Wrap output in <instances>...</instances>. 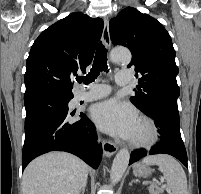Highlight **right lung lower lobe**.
I'll return each mask as SVG.
<instances>
[{"instance_id": "1", "label": "right lung lower lobe", "mask_w": 201, "mask_h": 194, "mask_svg": "<svg viewBox=\"0 0 201 194\" xmlns=\"http://www.w3.org/2000/svg\"><path fill=\"white\" fill-rule=\"evenodd\" d=\"M73 94L36 91L24 95L26 108L25 142L22 152V168L44 153L66 151L84 160L96 169L102 158L97 145L94 124L80 113L81 119L71 120L68 102Z\"/></svg>"}]
</instances>
